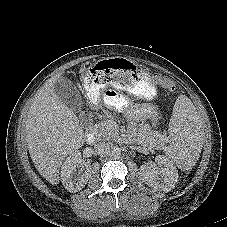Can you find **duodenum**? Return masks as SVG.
I'll list each match as a JSON object with an SVG mask.
<instances>
[{
	"label": "duodenum",
	"mask_w": 227,
	"mask_h": 227,
	"mask_svg": "<svg viewBox=\"0 0 227 227\" xmlns=\"http://www.w3.org/2000/svg\"><path fill=\"white\" fill-rule=\"evenodd\" d=\"M86 142L90 145L94 144L96 141V132L93 128H88L85 133Z\"/></svg>",
	"instance_id": "410a0bca"
}]
</instances>
